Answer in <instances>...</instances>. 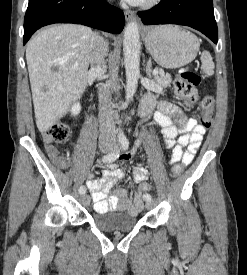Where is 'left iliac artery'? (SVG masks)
<instances>
[{"label":"left iliac artery","instance_id":"left-iliac-artery-1","mask_svg":"<svg viewBox=\"0 0 247 275\" xmlns=\"http://www.w3.org/2000/svg\"><path fill=\"white\" fill-rule=\"evenodd\" d=\"M121 145L123 150H127L129 146V141L126 138L121 139ZM143 199L145 201L152 200V196L150 194H144Z\"/></svg>","mask_w":247,"mask_h":275}]
</instances>
